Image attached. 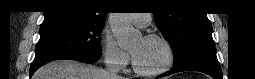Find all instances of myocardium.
<instances>
[{"mask_svg":"<svg viewBox=\"0 0 255 79\" xmlns=\"http://www.w3.org/2000/svg\"><path fill=\"white\" fill-rule=\"evenodd\" d=\"M143 38L145 40L160 41L166 49V59L164 63L162 64V66L155 70H143L138 67V65L136 64L134 60V57L131 56V63H132V68L134 72L141 76H156V75L164 73L170 68L174 60V51H173V47L171 43L164 36L159 34H147Z\"/></svg>","mask_w":255,"mask_h":79,"instance_id":"myocardium-1","label":"myocardium"}]
</instances>
